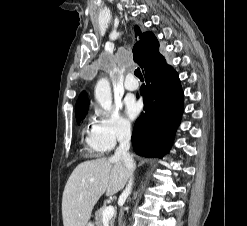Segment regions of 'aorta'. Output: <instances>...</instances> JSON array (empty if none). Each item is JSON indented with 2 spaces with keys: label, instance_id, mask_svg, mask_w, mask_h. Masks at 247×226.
Listing matches in <instances>:
<instances>
[{
  "label": "aorta",
  "instance_id": "obj_1",
  "mask_svg": "<svg viewBox=\"0 0 247 226\" xmlns=\"http://www.w3.org/2000/svg\"><path fill=\"white\" fill-rule=\"evenodd\" d=\"M95 99L105 111L111 110L112 93L110 82L107 78H102L97 82L95 86Z\"/></svg>",
  "mask_w": 247,
  "mask_h": 226
}]
</instances>
